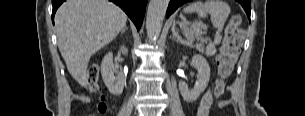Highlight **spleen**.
<instances>
[{"label": "spleen", "mask_w": 305, "mask_h": 116, "mask_svg": "<svg viewBox=\"0 0 305 116\" xmlns=\"http://www.w3.org/2000/svg\"><path fill=\"white\" fill-rule=\"evenodd\" d=\"M184 13H197L199 17L206 18L210 15L212 24L218 30H222L230 13V7L220 0H207L204 3L197 1L189 4L183 10ZM203 34L198 23L192 24L191 29L187 34L186 44H192L195 37Z\"/></svg>", "instance_id": "spleen-1"}]
</instances>
